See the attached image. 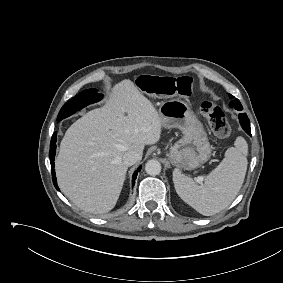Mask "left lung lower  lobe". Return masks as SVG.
<instances>
[{"label": "left lung lower lobe", "mask_w": 283, "mask_h": 283, "mask_svg": "<svg viewBox=\"0 0 283 283\" xmlns=\"http://www.w3.org/2000/svg\"><path fill=\"white\" fill-rule=\"evenodd\" d=\"M239 120H240V124H241L242 128L245 130V132L247 134H249L251 136L250 121H249L247 115L244 114V113H240L239 114Z\"/></svg>", "instance_id": "0a47b994"}]
</instances>
